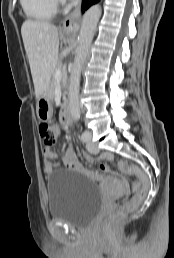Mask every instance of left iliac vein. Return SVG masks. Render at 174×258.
<instances>
[{
    "label": "left iliac vein",
    "instance_id": "1",
    "mask_svg": "<svg viewBox=\"0 0 174 258\" xmlns=\"http://www.w3.org/2000/svg\"><path fill=\"white\" fill-rule=\"evenodd\" d=\"M88 134H89V140L87 141V149L89 150V152L96 154L98 153V148L91 142V133L88 132Z\"/></svg>",
    "mask_w": 174,
    "mask_h": 258
}]
</instances>
